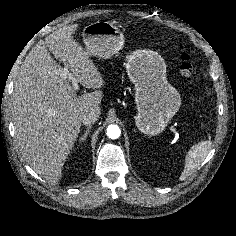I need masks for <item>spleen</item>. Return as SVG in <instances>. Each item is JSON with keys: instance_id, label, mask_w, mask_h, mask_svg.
<instances>
[{"instance_id": "obj_1", "label": "spleen", "mask_w": 236, "mask_h": 236, "mask_svg": "<svg viewBox=\"0 0 236 236\" xmlns=\"http://www.w3.org/2000/svg\"><path fill=\"white\" fill-rule=\"evenodd\" d=\"M212 142L210 140L199 142L191 147L185 158V167L179 179L181 181L188 178L197 169L209 153Z\"/></svg>"}]
</instances>
